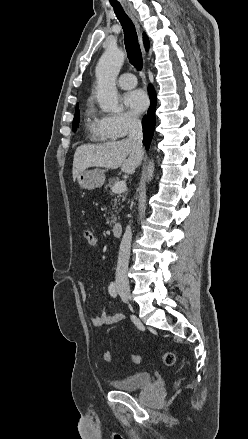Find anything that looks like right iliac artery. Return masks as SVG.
I'll return each mask as SVG.
<instances>
[{
  "mask_svg": "<svg viewBox=\"0 0 248 439\" xmlns=\"http://www.w3.org/2000/svg\"><path fill=\"white\" fill-rule=\"evenodd\" d=\"M108 291L112 297L115 298L117 296V285L115 282H111V284L108 287Z\"/></svg>",
  "mask_w": 248,
  "mask_h": 439,
  "instance_id": "obj_1",
  "label": "right iliac artery"
}]
</instances>
